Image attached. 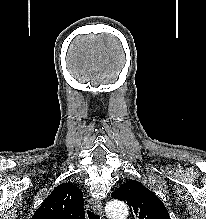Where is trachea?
I'll return each instance as SVG.
<instances>
[{
  "label": "trachea",
  "mask_w": 206,
  "mask_h": 219,
  "mask_svg": "<svg viewBox=\"0 0 206 219\" xmlns=\"http://www.w3.org/2000/svg\"><path fill=\"white\" fill-rule=\"evenodd\" d=\"M87 214H88V218L89 219H100L99 215H97L96 213L92 212L91 210H88Z\"/></svg>",
  "instance_id": "obj_1"
}]
</instances>
